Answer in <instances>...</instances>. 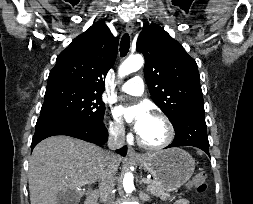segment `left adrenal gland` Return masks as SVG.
<instances>
[{
	"instance_id": "left-adrenal-gland-1",
	"label": "left adrenal gland",
	"mask_w": 253,
	"mask_h": 204,
	"mask_svg": "<svg viewBox=\"0 0 253 204\" xmlns=\"http://www.w3.org/2000/svg\"><path fill=\"white\" fill-rule=\"evenodd\" d=\"M141 178H142V176H141ZM139 184H142V180L139 181Z\"/></svg>"
}]
</instances>
